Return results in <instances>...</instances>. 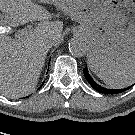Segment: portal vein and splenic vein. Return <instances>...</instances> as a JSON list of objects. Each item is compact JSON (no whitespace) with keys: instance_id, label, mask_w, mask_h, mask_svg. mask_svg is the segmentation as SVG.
Returning <instances> with one entry per match:
<instances>
[{"instance_id":"18ae733b","label":"portal vein and splenic vein","mask_w":135,"mask_h":135,"mask_svg":"<svg viewBox=\"0 0 135 135\" xmlns=\"http://www.w3.org/2000/svg\"><path fill=\"white\" fill-rule=\"evenodd\" d=\"M32 29H33V26L32 25H28L26 28H24L21 31H19L17 37L18 38H22V37L26 36L28 34V32H30ZM1 31L4 32V29L1 30Z\"/></svg>"}]
</instances>
